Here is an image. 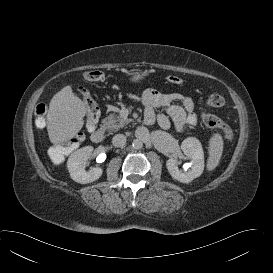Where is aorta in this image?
I'll list each match as a JSON object with an SVG mask.
<instances>
[{
    "mask_svg": "<svg viewBox=\"0 0 273 273\" xmlns=\"http://www.w3.org/2000/svg\"><path fill=\"white\" fill-rule=\"evenodd\" d=\"M132 146L135 149H140L143 146V142L140 139H135V140H133Z\"/></svg>",
    "mask_w": 273,
    "mask_h": 273,
    "instance_id": "762f6f07",
    "label": "aorta"
}]
</instances>
